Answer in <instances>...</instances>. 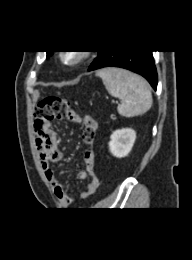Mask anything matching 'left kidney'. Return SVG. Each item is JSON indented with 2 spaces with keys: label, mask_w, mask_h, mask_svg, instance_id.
I'll return each mask as SVG.
<instances>
[{
  "label": "left kidney",
  "mask_w": 192,
  "mask_h": 260,
  "mask_svg": "<svg viewBox=\"0 0 192 260\" xmlns=\"http://www.w3.org/2000/svg\"><path fill=\"white\" fill-rule=\"evenodd\" d=\"M110 138V152L113 156L122 158L130 153L136 139V132L130 128H123L114 131Z\"/></svg>",
  "instance_id": "left-kidney-1"
}]
</instances>
